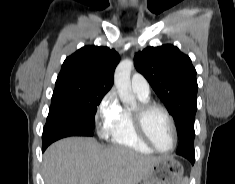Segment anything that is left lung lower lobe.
I'll return each mask as SVG.
<instances>
[{"mask_svg": "<svg viewBox=\"0 0 235 184\" xmlns=\"http://www.w3.org/2000/svg\"><path fill=\"white\" fill-rule=\"evenodd\" d=\"M183 157H185L186 159H188V160L192 163V165L194 164V162H195V155H193V156H191V155H185V156H183Z\"/></svg>", "mask_w": 235, "mask_h": 184, "instance_id": "obj_1", "label": "left lung lower lobe"}]
</instances>
